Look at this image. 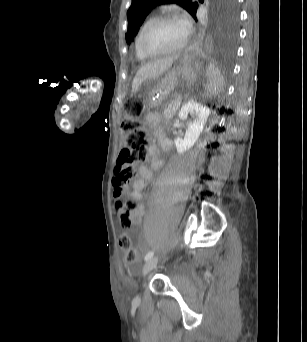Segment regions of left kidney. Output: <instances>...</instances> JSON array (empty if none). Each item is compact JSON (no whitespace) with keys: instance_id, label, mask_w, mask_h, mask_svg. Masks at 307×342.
<instances>
[{"instance_id":"obj_1","label":"left kidney","mask_w":307,"mask_h":342,"mask_svg":"<svg viewBox=\"0 0 307 342\" xmlns=\"http://www.w3.org/2000/svg\"><path fill=\"white\" fill-rule=\"evenodd\" d=\"M191 114L193 120L189 122L188 128L185 132L184 140L182 138H176L175 146L178 154H184L187 150H190L194 144H196L210 114L209 108L198 104L195 100H189L187 104L182 106L178 116L180 120H188V116Z\"/></svg>"}]
</instances>
